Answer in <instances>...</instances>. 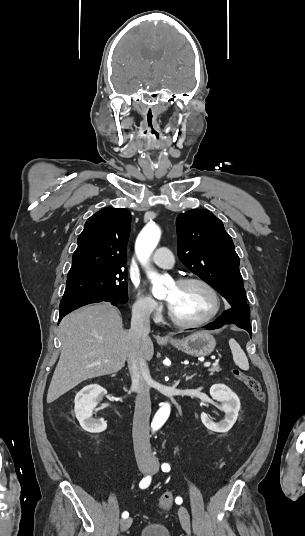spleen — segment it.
Instances as JSON below:
<instances>
[{"mask_svg":"<svg viewBox=\"0 0 305 536\" xmlns=\"http://www.w3.org/2000/svg\"><path fill=\"white\" fill-rule=\"evenodd\" d=\"M229 346L232 352L234 364H236V366H239L240 370H249L248 358L245 352H243L242 348H240L239 344H237L236 340H234V338H231V340H229Z\"/></svg>","mask_w":305,"mask_h":536,"instance_id":"3e777b00","label":"spleen"}]
</instances>
